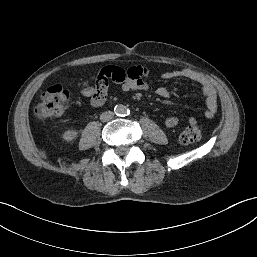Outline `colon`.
I'll list each match as a JSON object with an SVG mask.
<instances>
[{
	"mask_svg": "<svg viewBox=\"0 0 257 257\" xmlns=\"http://www.w3.org/2000/svg\"><path fill=\"white\" fill-rule=\"evenodd\" d=\"M95 85L99 89H104L108 86V81L102 76H97ZM69 100L70 94L62 85H53L42 94L34 108L35 115L41 120H50L59 117L65 111ZM201 135V127L191 125L181 132L179 141L184 145L193 144L200 140Z\"/></svg>",
	"mask_w": 257,
	"mask_h": 257,
	"instance_id": "1",
	"label": "colon"
}]
</instances>
